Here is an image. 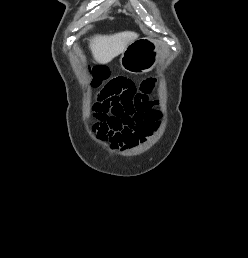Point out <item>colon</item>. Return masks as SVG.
<instances>
[{"label":"colon","mask_w":248,"mask_h":258,"mask_svg":"<svg viewBox=\"0 0 248 258\" xmlns=\"http://www.w3.org/2000/svg\"><path fill=\"white\" fill-rule=\"evenodd\" d=\"M102 75L97 79V82H101ZM95 115L99 120V124L106 125L108 130H112L120 127L123 124V120L126 115H121L115 108V105L109 98L101 99L95 106Z\"/></svg>","instance_id":"5ec220e1"}]
</instances>
